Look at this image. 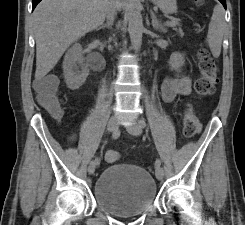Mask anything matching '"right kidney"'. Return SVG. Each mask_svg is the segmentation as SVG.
I'll return each mask as SVG.
<instances>
[{
    "instance_id": "obj_1",
    "label": "right kidney",
    "mask_w": 245,
    "mask_h": 225,
    "mask_svg": "<svg viewBox=\"0 0 245 225\" xmlns=\"http://www.w3.org/2000/svg\"><path fill=\"white\" fill-rule=\"evenodd\" d=\"M62 67L67 87L71 90L79 89L89 74V69L84 64L80 44L75 43L67 51Z\"/></svg>"
}]
</instances>
